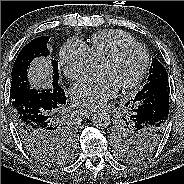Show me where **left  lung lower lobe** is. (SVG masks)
<instances>
[{
    "label": "left lung lower lobe",
    "instance_id": "obj_1",
    "mask_svg": "<svg viewBox=\"0 0 184 184\" xmlns=\"http://www.w3.org/2000/svg\"><path fill=\"white\" fill-rule=\"evenodd\" d=\"M161 96L155 94V89L137 93L131 100L132 117L135 123L143 128L151 129L162 140L169 114V86H160ZM130 101L126 103V106Z\"/></svg>",
    "mask_w": 184,
    "mask_h": 184
}]
</instances>
